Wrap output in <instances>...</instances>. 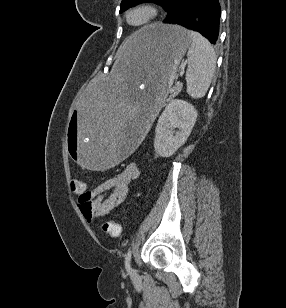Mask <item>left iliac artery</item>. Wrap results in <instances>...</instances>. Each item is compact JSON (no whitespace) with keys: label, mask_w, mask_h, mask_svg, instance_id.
<instances>
[{"label":"left iliac artery","mask_w":286,"mask_h":308,"mask_svg":"<svg viewBox=\"0 0 286 308\" xmlns=\"http://www.w3.org/2000/svg\"><path fill=\"white\" fill-rule=\"evenodd\" d=\"M131 256H132V251L128 250L126 257H125V267H126L128 272L131 271V268H130Z\"/></svg>","instance_id":"obj_1"}]
</instances>
